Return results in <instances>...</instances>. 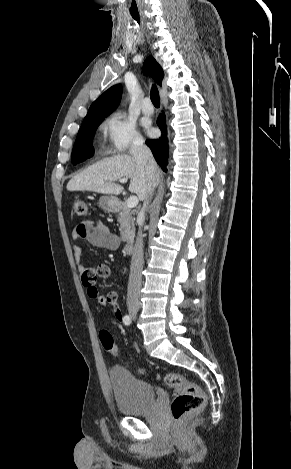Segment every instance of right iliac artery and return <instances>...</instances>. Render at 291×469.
I'll list each match as a JSON object with an SVG mask.
<instances>
[{"mask_svg": "<svg viewBox=\"0 0 291 469\" xmlns=\"http://www.w3.org/2000/svg\"><path fill=\"white\" fill-rule=\"evenodd\" d=\"M123 322L125 325H130L131 324V317L129 315H125L123 318Z\"/></svg>", "mask_w": 291, "mask_h": 469, "instance_id": "right-iliac-artery-1", "label": "right iliac artery"}]
</instances>
